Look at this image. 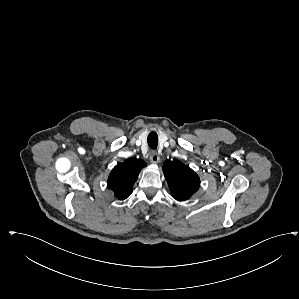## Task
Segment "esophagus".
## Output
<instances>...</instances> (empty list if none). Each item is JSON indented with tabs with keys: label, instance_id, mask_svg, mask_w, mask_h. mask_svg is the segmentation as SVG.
I'll return each instance as SVG.
<instances>
[{
	"label": "esophagus",
	"instance_id": "esophagus-1",
	"mask_svg": "<svg viewBox=\"0 0 299 299\" xmlns=\"http://www.w3.org/2000/svg\"><path fill=\"white\" fill-rule=\"evenodd\" d=\"M150 160L152 163H158L160 161V156L156 151H152L150 155Z\"/></svg>",
	"mask_w": 299,
	"mask_h": 299
}]
</instances>
